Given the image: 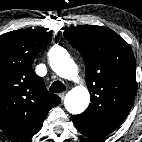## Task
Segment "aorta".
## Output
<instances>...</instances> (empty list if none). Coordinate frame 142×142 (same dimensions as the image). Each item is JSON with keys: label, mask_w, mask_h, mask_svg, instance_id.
I'll use <instances>...</instances> for the list:
<instances>
[{"label": "aorta", "mask_w": 142, "mask_h": 142, "mask_svg": "<svg viewBox=\"0 0 142 142\" xmlns=\"http://www.w3.org/2000/svg\"><path fill=\"white\" fill-rule=\"evenodd\" d=\"M48 59L52 70L61 78L77 80L78 68L73 59L70 58L66 49L61 46H53ZM90 103V94L85 86H76L68 92L64 105L71 114L84 112Z\"/></svg>", "instance_id": "aorta-1"}]
</instances>
